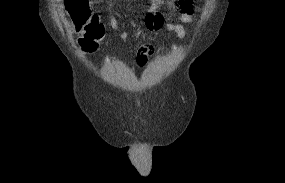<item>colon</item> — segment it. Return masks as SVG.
<instances>
[{
    "label": "colon",
    "mask_w": 285,
    "mask_h": 183,
    "mask_svg": "<svg viewBox=\"0 0 285 183\" xmlns=\"http://www.w3.org/2000/svg\"><path fill=\"white\" fill-rule=\"evenodd\" d=\"M180 0H177L179 2ZM67 11L72 19L75 31L80 34L79 44L86 52L97 49L99 42L104 37V27L98 16L90 10L89 0H65ZM187 12L191 8L184 9Z\"/></svg>",
    "instance_id": "obj_1"
}]
</instances>
